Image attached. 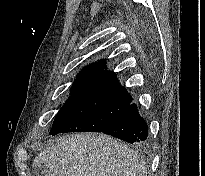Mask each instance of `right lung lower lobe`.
<instances>
[{
    "label": "right lung lower lobe",
    "mask_w": 205,
    "mask_h": 176,
    "mask_svg": "<svg viewBox=\"0 0 205 176\" xmlns=\"http://www.w3.org/2000/svg\"><path fill=\"white\" fill-rule=\"evenodd\" d=\"M102 132L132 144H143L148 136V126L136 104H129L122 116Z\"/></svg>",
    "instance_id": "98d812e1"
}]
</instances>
